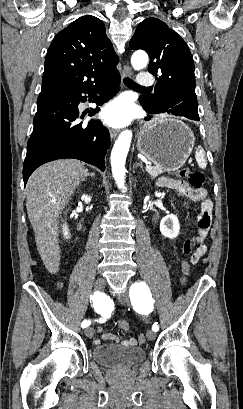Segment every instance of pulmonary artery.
I'll use <instances>...</instances> for the list:
<instances>
[{
	"instance_id": "e3ab8cb5",
	"label": "pulmonary artery",
	"mask_w": 243,
	"mask_h": 409,
	"mask_svg": "<svg viewBox=\"0 0 243 409\" xmlns=\"http://www.w3.org/2000/svg\"><path fill=\"white\" fill-rule=\"evenodd\" d=\"M154 83V79L152 75L148 72H142L140 73L138 79H137V84L142 87H148L152 86Z\"/></svg>"
}]
</instances>
